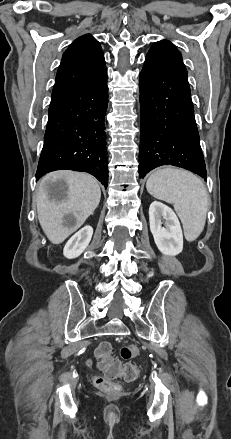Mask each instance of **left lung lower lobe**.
<instances>
[{
    "label": "left lung lower lobe",
    "instance_id": "0a47b994",
    "mask_svg": "<svg viewBox=\"0 0 231 439\" xmlns=\"http://www.w3.org/2000/svg\"><path fill=\"white\" fill-rule=\"evenodd\" d=\"M139 88L140 178L158 166L173 165L206 180L186 68L169 51L152 46Z\"/></svg>",
    "mask_w": 231,
    "mask_h": 439
}]
</instances>
